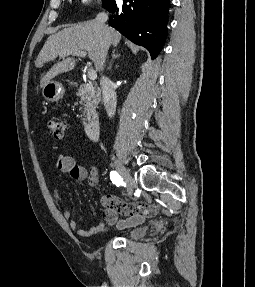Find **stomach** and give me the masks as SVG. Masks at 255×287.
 I'll list each match as a JSON object with an SVG mask.
<instances>
[{"label":"stomach","instance_id":"stomach-1","mask_svg":"<svg viewBox=\"0 0 255 287\" xmlns=\"http://www.w3.org/2000/svg\"><path fill=\"white\" fill-rule=\"evenodd\" d=\"M65 94V88L60 82H48L42 90V96L47 102H59Z\"/></svg>","mask_w":255,"mask_h":287}]
</instances>
